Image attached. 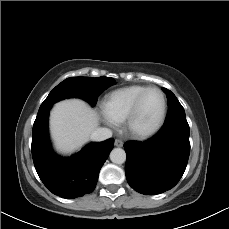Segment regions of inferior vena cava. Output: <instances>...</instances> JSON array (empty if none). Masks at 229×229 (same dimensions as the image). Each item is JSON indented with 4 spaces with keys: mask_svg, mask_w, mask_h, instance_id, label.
Returning <instances> with one entry per match:
<instances>
[{
    "mask_svg": "<svg viewBox=\"0 0 229 229\" xmlns=\"http://www.w3.org/2000/svg\"><path fill=\"white\" fill-rule=\"evenodd\" d=\"M112 137V131L108 128H97L91 134L93 141H104Z\"/></svg>",
    "mask_w": 229,
    "mask_h": 229,
    "instance_id": "obj_1",
    "label": "inferior vena cava"
}]
</instances>
